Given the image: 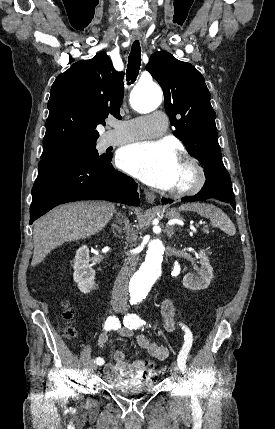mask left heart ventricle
Masks as SVG:
<instances>
[{
    "label": "left heart ventricle",
    "instance_id": "1",
    "mask_svg": "<svg viewBox=\"0 0 275 429\" xmlns=\"http://www.w3.org/2000/svg\"><path fill=\"white\" fill-rule=\"evenodd\" d=\"M192 180V172L185 164L178 160L175 179L171 188H181L187 186Z\"/></svg>",
    "mask_w": 275,
    "mask_h": 429
}]
</instances>
